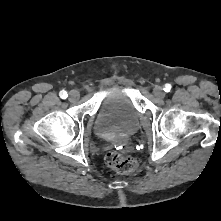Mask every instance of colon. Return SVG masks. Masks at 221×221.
I'll list each match as a JSON object with an SVG mask.
<instances>
[{
	"instance_id": "colon-1",
	"label": "colon",
	"mask_w": 221,
	"mask_h": 221,
	"mask_svg": "<svg viewBox=\"0 0 221 221\" xmlns=\"http://www.w3.org/2000/svg\"><path fill=\"white\" fill-rule=\"evenodd\" d=\"M104 161L109 168L124 174L132 173L137 169V162L132 157L115 150L107 152Z\"/></svg>"
}]
</instances>
